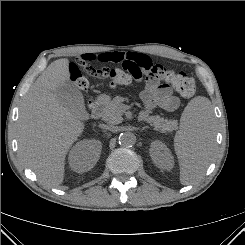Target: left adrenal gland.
Wrapping results in <instances>:
<instances>
[{"instance_id":"a2214340","label":"left adrenal gland","mask_w":245,"mask_h":245,"mask_svg":"<svg viewBox=\"0 0 245 245\" xmlns=\"http://www.w3.org/2000/svg\"><path fill=\"white\" fill-rule=\"evenodd\" d=\"M149 127L145 126L141 129V131L145 130V129H148Z\"/></svg>"}]
</instances>
